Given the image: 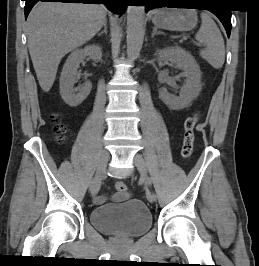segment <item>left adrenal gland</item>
Returning <instances> with one entry per match:
<instances>
[{
	"label": "left adrenal gland",
	"mask_w": 259,
	"mask_h": 266,
	"mask_svg": "<svg viewBox=\"0 0 259 266\" xmlns=\"http://www.w3.org/2000/svg\"><path fill=\"white\" fill-rule=\"evenodd\" d=\"M159 34H163V35H165L163 32H161V31H157V28L154 27V28H153V32H152L151 37H154L155 35H159Z\"/></svg>",
	"instance_id": "a2214340"
}]
</instances>
